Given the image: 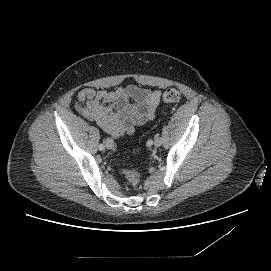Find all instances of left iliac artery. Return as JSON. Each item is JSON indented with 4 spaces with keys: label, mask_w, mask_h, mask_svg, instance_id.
I'll return each instance as SVG.
<instances>
[{
    "label": "left iliac artery",
    "mask_w": 271,
    "mask_h": 271,
    "mask_svg": "<svg viewBox=\"0 0 271 271\" xmlns=\"http://www.w3.org/2000/svg\"><path fill=\"white\" fill-rule=\"evenodd\" d=\"M152 145H153V141H152V140H148V141H147V146L150 147V146H152Z\"/></svg>",
    "instance_id": "left-iliac-artery-1"
}]
</instances>
